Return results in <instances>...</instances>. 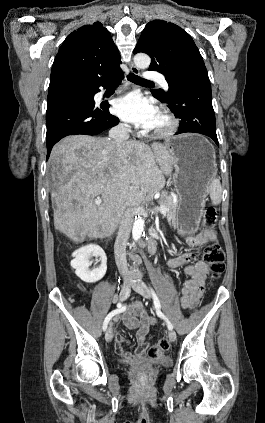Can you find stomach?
Returning <instances> with one entry per match:
<instances>
[{
	"label": "stomach",
	"instance_id": "stomach-1",
	"mask_svg": "<svg viewBox=\"0 0 265 423\" xmlns=\"http://www.w3.org/2000/svg\"><path fill=\"white\" fill-rule=\"evenodd\" d=\"M165 146L173 158L174 181L179 197L176 227L181 234H193L203 216L204 198L215 173L214 147L199 134L169 138Z\"/></svg>",
	"mask_w": 265,
	"mask_h": 423
}]
</instances>
